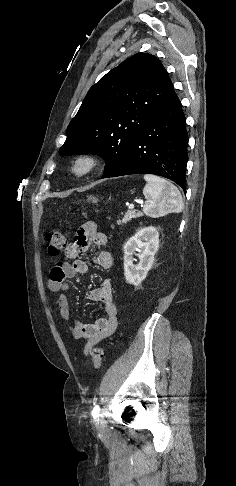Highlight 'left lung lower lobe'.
Wrapping results in <instances>:
<instances>
[{
	"instance_id": "obj_1",
	"label": "left lung lower lobe",
	"mask_w": 236,
	"mask_h": 486,
	"mask_svg": "<svg viewBox=\"0 0 236 486\" xmlns=\"http://www.w3.org/2000/svg\"><path fill=\"white\" fill-rule=\"evenodd\" d=\"M188 134L181 102L174 92L143 127L127 152L105 177L154 174L177 183L185 192Z\"/></svg>"
}]
</instances>
